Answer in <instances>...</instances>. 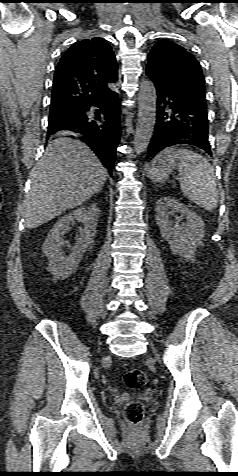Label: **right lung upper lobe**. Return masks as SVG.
I'll list each match as a JSON object with an SVG mask.
<instances>
[{"mask_svg":"<svg viewBox=\"0 0 238 476\" xmlns=\"http://www.w3.org/2000/svg\"><path fill=\"white\" fill-rule=\"evenodd\" d=\"M116 57L102 38L84 39L61 57L54 74L51 107L83 109L111 90L117 80Z\"/></svg>","mask_w":238,"mask_h":476,"instance_id":"right-lung-upper-lobe-1","label":"right lung upper lobe"}]
</instances>
